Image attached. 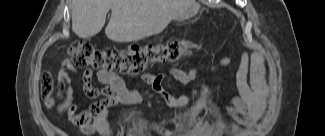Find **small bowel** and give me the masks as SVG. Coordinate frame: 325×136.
<instances>
[{"label":"small bowel","mask_w":325,"mask_h":136,"mask_svg":"<svg viewBox=\"0 0 325 136\" xmlns=\"http://www.w3.org/2000/svg\"><path fill=\"white\" fill-rule=\"evenodd\" d=\"M232 58L225 56L211 66L212 70L225 68L230 65ZM77 70L65 60L59 70L56 85L58 98H66L62 109L67 112L69 120L84 134L92 135L96 132L104 136L113 135V130L108 120V109L115 104L133 105L141 101L145 91L143 89L129 90L123 79L114 74L104 71L96 73L97 80L109 88L104 91L105 98L94 103L89 108L75 102L72 91L73 84L70 82V74ZM94 74L90 69L82 73L83 90L87 97L96 98L99 91L91 84ZM197 76L196 70L182 71L171 68L165 74L154 75L147 73L143 76L145 86L152 90L162 101L172 108L187 106L199 93V89H193L188 95L174 96L163 87L165 79L171 78L180 84H187ZM238 96L231 100L228 111L242 123H247L250 118L258 119L266 104V90L263 83V61L260 54L243 52L240 65L235 76ZM68 90V91H66Z\"/></svg>","instance_id":"1"}]
</instances>
